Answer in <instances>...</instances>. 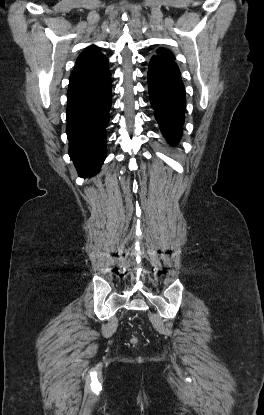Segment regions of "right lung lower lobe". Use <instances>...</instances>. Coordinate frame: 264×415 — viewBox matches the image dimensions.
Returning a JSON list of instances; mask_svg holds the SVG:
<instances>
[{
  "label": "right lung lower lobe",
  "mask_w": 264,
  "mask_h": 415,
  "mask_svg": "<svg viewBox=\"0 0 264 415\" xmlns=\"http://www.w3.org/2000/svg\"><path fill=\"white\" fill-rule=\"evenodd\" d=\"M111 73L70 81L67 92L69 155L80 177L93 176L106 158Z\"/></svg>",
  "instance_id": "right-lung-lower-lobe-1"
}]
</instances>
